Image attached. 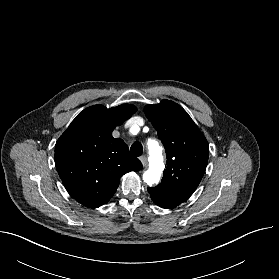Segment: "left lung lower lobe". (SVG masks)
<instances>
[{
    "mask_svg": "<svg viewBox=\"0 0 279 279\" xmlns=\"http://www.w3.org/2000/svg\"><path fill=\"white\" fill-rule=\"evenodd\" d=\"M154 203L158 206H160L161 208H174L176 206H178V204H174V203H165V202H160V201H154Z\"/></svg>",
    "mask_w": 279,
    "mask_h": 279,
    "instance_id": "0a47b994",
    "label": "left lung lower lobe"
}]
</instances>
